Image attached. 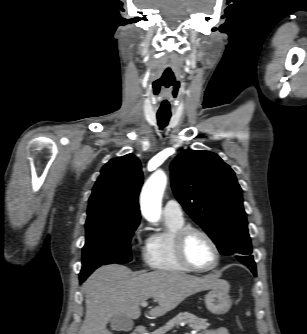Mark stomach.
Instances as JSON below:
<instances>
[{
    "label": "stomach",
    "instance_id": "stomach-1",
    "mask_svg": "<svg viewBox=\"0 0 307 334\" xmlns=\"http://www.w3.org/2000/svg\"><path fill=\"white\" fill-rule=\"evenodd\" d=\"M230 285L227 281L220 280V285L211 289L205 296V304L207 309L217 315L225 314L232 305L229 296Z\"/></svg>",
    "mask_w": 307,
    "mask_h": 334
}]
</instances>
